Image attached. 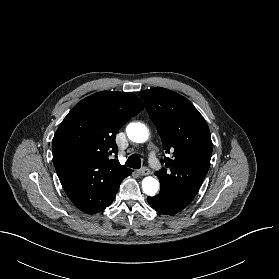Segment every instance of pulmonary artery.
Segmentation results:
<instances>
[{"label": "pulmonary artery", "mask_w": 279, "mask_h": 279, "mask_svg": "<svg viewBox=\"0 0 279 279\" xmlns=\"http://www.w3.org/2000/svg\"><path fill=\"white\" fill-rule=\"evenodd\" d=\"M150 162H151L153 165H156V164H157V160H156V158H155V156H154L153 154L150 156Z\"/></svg>", "instance_id": "obj_1"}]
</instances>
